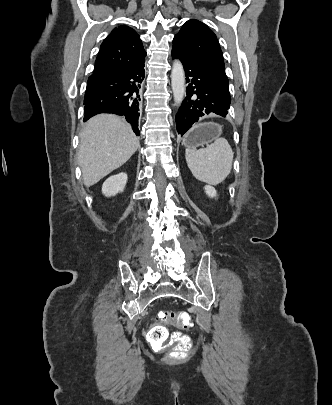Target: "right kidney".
<instances>
[{"mask_svg": "<svg viewBox=\"0 0 332 405\" xmlns=\"http://www.w3.org/2000/svg\"><path fill=\"white\" fill-rule=\"evenodd\" d=\"M127 183V174L119 173L117 175L109 177L102 185V193L107 196H114L119 192H122Z\"/></svg>", "mask_w": 332, "mask_h": 405, "instance_id": "ca27d5eb", "label": "right kidney"}]
</instances>
